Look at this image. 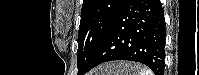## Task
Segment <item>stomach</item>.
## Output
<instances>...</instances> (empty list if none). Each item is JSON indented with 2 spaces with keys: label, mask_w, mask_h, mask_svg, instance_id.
Wrapping results in <instances>:
<instances>
[{
  "label": "stomach",
  "mask_w": 199,
  "mask_h": 75,
  "mask_svg": "<svg viewBox=\"0 0 199 75\" xmlns=\"http://www.w3.org/2000/svg\"><path fill=\"white\" fill-rule=\"evenodd\" d=\"M136 69L131 62H112L100 66L95 75H136Z\"/></svg>",
  "instance_id": "0dacf381"
}]
</instances>
